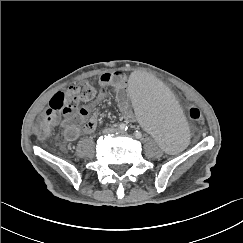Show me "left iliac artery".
Listing matches in <instances>:
<instances>
[{"mask_svg": "<svg viewBox=\"0 0 243 243\" xmlns=\"http://www.w3.org/2000/svg\"><path fill=\"white\" fill-rule=\"evenodd\" d=\"M134 135H135V137L136 138H141V136H142V134H141V132H139V131H136L135 133H134Z\"/></svg>", "mask_w": 243, "mask_h": 243, "instance_id": "1", "label": "left iliac artery"}]
</instances>
